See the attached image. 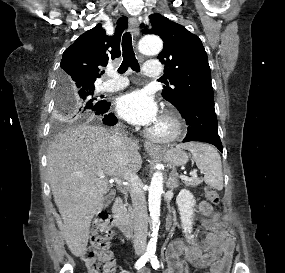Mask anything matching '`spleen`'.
<instances>
[{
  "label": "spleen",
  "instance_id": "1",
  "mask_svg": "<svg viewBox=\"0 0 285 273\" xmlns=\"http://www.w3.org/2000/svg\"><path fill=\"white\" fill-rule=\"evenodd\" d=\"M189 150L198 169L204 173L205 183L217 190L223 189L222 163L218 152L210 145L191 142L179 146Z\"/></svg>",
  "mask_w": 285,
  "mask_h": 273
}]
</instances>
